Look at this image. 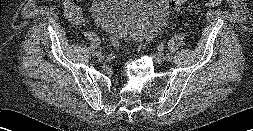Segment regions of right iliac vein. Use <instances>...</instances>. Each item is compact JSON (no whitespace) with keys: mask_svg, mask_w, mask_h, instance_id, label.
Segmentation results:
<instances>
[{"mask_svg":"<svg viewBox=\"0 0 253 131\" xmlns=\"http://www.w3.org/2000/svg\"><path fill=\"white\" fill-rule=\"evenodd\" d=\"M93 56H95V57H97V58H99V59H102L103 58V56L100 54L99 56H96V55H93Z\"/></svg>","mask_w":253,"mask_h":131,"instance_id":"1","label":"right iliac vein"}]
</instances>
